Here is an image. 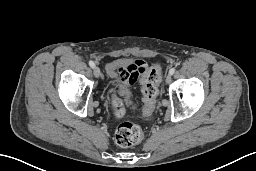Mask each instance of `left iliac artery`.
<instances>
[{
	"label": "left iliac artery",
	"instance_id": "obj_1",
	"mask_svg": "<svg viewBox=\"0 0 256 171\" xmlns=\"http://www.w3.org/2000/svg\"><path fill=\"white\" fill-rule=\"evenodd\" d=\"M174 72H175V68H171V69L169 70V74H171V75H173Z\"/></svg>",
	"mask_w": 256,
	"mask_h": 171
}]
</instances>
